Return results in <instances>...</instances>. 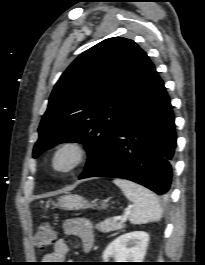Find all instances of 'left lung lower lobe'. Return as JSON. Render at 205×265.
I'll use <instances>...</instances> for the list:
<instances>
[{
  "label": "left lung lower lobe",
  "instance_id": "0a47b994",
  "mask_svg": "<svg viewBox=\"0 0 205 265\" xmlns=\"http://www.w3.org/2000/svg\"><path fill=\"white\" fill-rule=\"evenodd\" d=\"M175 148L170 98L154 68L141 94L125 111L104 148L85 167L79 179L123 178L163 195L171 186Z\"/></svg>",
  "mask_w": 205,
  "mask_h": 265
}]
</instances>
